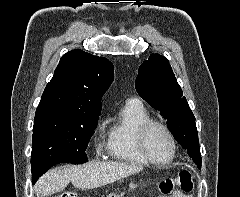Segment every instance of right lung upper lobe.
<instances>
[{
  "label": "right lung upper lobe",
  "instance_id": "right-lung-upper-lobe-1",
  "mask_svg": "<svg viewBox=\"0 0 240 197\" xmlns=\"http://www.w3.org/2000/svg\"><path fill=\"white\" fill-rule=\"evenodd\" d=\"M113 78V65L108 59L82 50L69 51L47 84L36 115L99 116L102 96Z\"/></svg>",
  "mask_w": 240,
  "mask_h": 197
}]
</instances>
